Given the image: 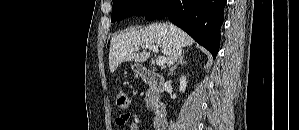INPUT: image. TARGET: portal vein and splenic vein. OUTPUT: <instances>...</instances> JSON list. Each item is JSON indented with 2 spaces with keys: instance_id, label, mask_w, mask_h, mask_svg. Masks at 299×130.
Here are the masks:
<instances>
[{
  "instance_id": "portal-vein-and-splenic-vein-1",
  "label": "portal vein and splenic vein",
  "mask_w": 299,
  "mask_h": 130,
  "mask_svg": "<svg viewBox=\"0 0 299 130\" xmlns=\"http://www.w3.org/2000/svg\"><path fill=\"white\" fill-rule=\"evenodd\" d=\"M142 48L152 50L153 52H158V46H155V45H146V46H143ZM138 50H139V48L136 47L135 51H138ZM165 62H166L165 56H160L156 59L157 66H162Z\"/></svg>"
}]
</instances>
